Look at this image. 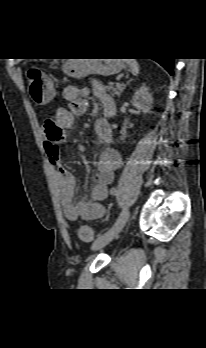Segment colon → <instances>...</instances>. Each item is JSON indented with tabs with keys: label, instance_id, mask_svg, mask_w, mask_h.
<instances>
[{
	"label": "colon",
	"instance_id": "1",
	"mask_svg": "<svg viewBox=\"0 0 206 348\" xmlns=\"http://www.w3.org/2000/svg\"><path fill=\"white\" fill-rule=\"evenodd\" d=\"M26 80L29 86L30 94L33 99H45L47 93L52 90L53 86L44 76L40 68H30L26 72ZM49 120V119H47ZM44 126L46 125V122ZM79 238L84 242H91L94 239L93 230L86 225H83L78 230Z\"/></svg>",
	"mask_w": 206,
	"mask_h": 348
}]
</instances>
